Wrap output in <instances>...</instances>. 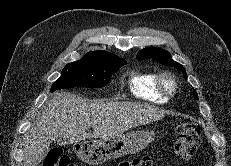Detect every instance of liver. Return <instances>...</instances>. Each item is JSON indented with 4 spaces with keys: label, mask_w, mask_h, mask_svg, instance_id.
Segmentation results:
<instances>
[{
    "label": "liver",
    "mask_w": 231,
    "mask_h": 166,
    "mask_svg": "<svg viewBox=\"0 0 231 166\" xmlns=\"http://www.w3.org/2000/svg\"><path fill=\"white\" fill-rule=\"evenodd\" d=\"M164 113L146 103L89 101L57 93L25 135V166H38L51 141L68 145L88 138L116 139L133 127L162 119ZM90 127L94 131L87 134Z\"/></svg>",
    "instance_id": "1"
}]
</instances>
